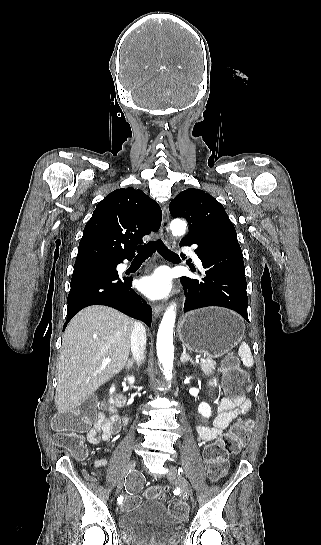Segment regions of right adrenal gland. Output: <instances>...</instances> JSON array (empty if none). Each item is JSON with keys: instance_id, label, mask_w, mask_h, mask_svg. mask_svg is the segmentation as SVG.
Returning a JSON list of instances; mask_svg holds the SVG:
<instances>
[{"instance_id": "1", "label": "right adrenal gland", "mask_w": 321, "mask_h": 545, "mask_svg": "<svg viewBox=\"0 0 321 545\" xmlns=\"http://www.w3.org/2000/svg\"><path fill=\"white\" fill-rule=\"evenodd\" d=\"M125 365H126V369H132L133 361H126Z\"/></svg>"}]
</instances>
